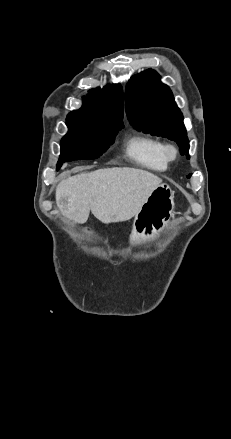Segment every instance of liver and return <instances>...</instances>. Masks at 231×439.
Wrapping results in <instances>:
<instances>
[{
	"mask_svg": "<svg viewBox=\"0 0 231 439\" xmlns=\"http://www.w3.org/2000/svg\"><path fill=\"white\" fill-rule=\"evenodd\" d=\"M161 182L149 171L130 167L84 172L58 184L56 204L74 223L87 222L90 211L104 224L123 222L136 216Z\"/></svg>",
	"mask_w": 231,
	"mask_h": 439,
	"instance_id": "liver-1",
	"label": "liver"
}]
</instances>
